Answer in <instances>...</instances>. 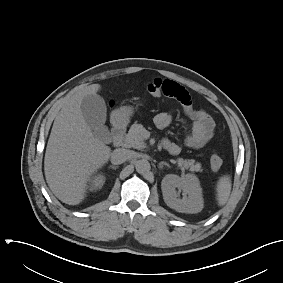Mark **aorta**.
Masks as SVG:
<instances>
[{"label":"aorta","mask_w":283,"mask_h":283,"mask_svg":"<svg viewBox=\"0 0 283 283\" xmlns=\"http://www.w3.org/2000/svg\"><path fill=\"white\" fill-rule=\"evenodd\" d=\"M135 168L138 173L144 174L150 171L151 166L147 160L142 159L136 162Z\"/></svg>","instance_id":"762f6f07"}]
</instances>
